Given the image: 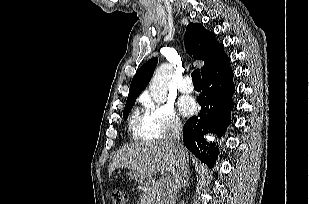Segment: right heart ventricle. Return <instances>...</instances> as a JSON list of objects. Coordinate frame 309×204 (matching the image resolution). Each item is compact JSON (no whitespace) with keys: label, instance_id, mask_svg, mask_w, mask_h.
<instances>
[{"label":"right heart ventricle","instance_id":"obj_1","mask_svg":"<svg viewBox=\"0 0 309 204\" xmlns=\"http://www.w3.org/2000/svg\"><path fill=\"white\" fill-rule=\"evenodd\" d=\"M145 117L139 111V109H135L131 116V127L135 137L137 138H145L143 135V127H144Z\"/></svg>","mask_w":309,"mask_h":204}]
</instances>
